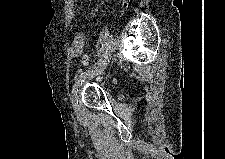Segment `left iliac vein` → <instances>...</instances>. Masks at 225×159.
<instances>
[{"label": "left iliac vein", "mask_w": 225, "mask_h": 159, "mask_svg": "<svg viewBox=\"0 0 225 159\" xmlns=\"http://www.w3.org/2000/svg\"><path fill=\"white\" fill-rule=\"evenodd\" d=\"M108 59H106L99 67H97L96 69H94L87 77V80L92 79L93 77H95L98 74H101L104 69L106 68L107 64H108ZM82 84H80L81 86ZM72 106L74 109V113L77 116V118H79L81 116V111H80V104H79V92L77 94H75L72 98Z\"/></svg>", "instance_id": "left-iliac-vein-1"}]
</instances>
